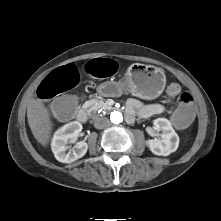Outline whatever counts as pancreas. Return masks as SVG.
<instances>
[{
	"mask_svg": "<svg viewBox=\"0 0 221 221\" xmlns=\"http://www.w3.org/2000/svg\"><path fill=\"white\" fill-rule=\"evenodd\" d=\"M106 107H107L106 103L100 99L89 100L84 105V109H86L89 114H91L92 112H96L101 108H106Z\"/></svg>",
	"mask_w": 221,
	"mask_h": 221,
	"instance_id": "obj_1",
	"label": "pancreas"
}]
</instances>
